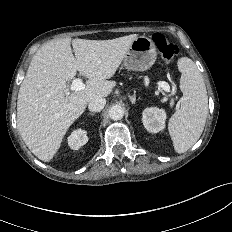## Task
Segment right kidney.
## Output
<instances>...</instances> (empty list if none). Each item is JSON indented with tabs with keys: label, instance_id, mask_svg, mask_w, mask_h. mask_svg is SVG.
Here are the masks:
<instances>
[{
	"label": "right kidney",
	"instance_id": "obj_1",
	"mask_svg": "<svg viewBox=\"0 0 232 232\" xmlns=\"http://www.w3.org/2000/svg\"><path fill=\"white\" fill-rule=\"evenodd\" d=\"M88 142L87 132L82 129L74 130L68 137V145L73 150H78Z\"/></svg>",
	"mask_w": 232,
	"mask_h": 232
}]
</instances>
